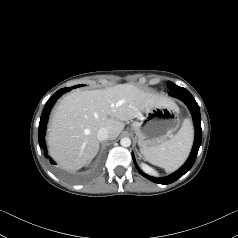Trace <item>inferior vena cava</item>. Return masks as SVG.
I'll return each mask as SVG.
<instances>
[{"label":"inferior vena cava","instance_id":"602c4592","mask_svg":"<svg viewBox=\"0 0 238 238\" xmlns=\"http://www.w3.org/2000/svg\"><path fill=\"white\" fill-rule=\"evenodd\" d=\"M97 138L99 141H104L109 138V131L107 128H100L97 132Z\"/></svg>","mask_w":238,"mask_h":238}]
</instances>
